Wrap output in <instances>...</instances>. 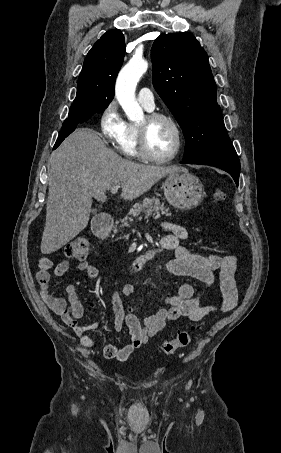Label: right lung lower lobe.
I'll list each match as a JSON object with an SVG mask.
<instances>
[{
    "label": "right lung lower lobe",
    "mask_w": 281,
    "mask_h": 453,
    "mask_svg": "<svg viewBox=\"0 0 281 453\" xmlns=\"http://www.w3.org/2000/svg\"><path fill=\"white\" fill-rule=\"evenodd\" d=\"M98 112L100 111L93 110L91 106L71 107L69 110V116L64 121L53 150L56 149L62 143V141L75 130L78 123L85 121L90 116Z\"/></svg>",
    "instance_id": "98d812e1"
}]
</instances>
